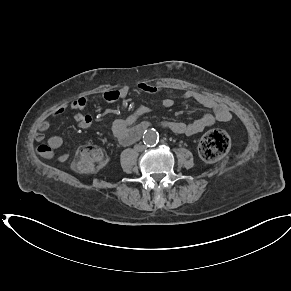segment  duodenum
Listing matches in <instances>:
<instances>
[{"instance_id": "obj_1", "label": "duodenum", "mask_w": 291, "mask_h": 291, "mask_svg": "<svg viewBox=\"0 0 291 291\" xmlns=\"http://www.w3.org/2000/svg\"><path fill=\"white\" fill-rule=\"evenodd\" d=\"M150 127V124L145 125V129L147 130ZM144 133V132H143ZM142 133V134H143ZM142 136V135H141Z\"/></svg>"}]
</instances>
